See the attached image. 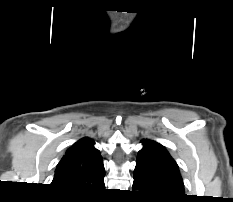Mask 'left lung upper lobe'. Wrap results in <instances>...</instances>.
<instances>
[{"mask_svg": "<svg viewBox=\"0 0 233 202\" xmlns=\"http://www.w3.org/2000/svg\"><path fill=\"white\" fill-rule=\"evenodd\" d=\"M138 152L134 179L154 197L182 199L184 184L175 160L161 144L145 140Z\"/></svg>", "mask_w": 233, "mask_h": 202, "instance_id": "1", "label": "left lung upper lobe"}]
</instances>
